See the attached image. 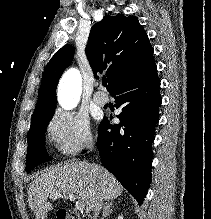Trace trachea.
<instances>
[{
    "label": "trachea",
    "instance_id": "3493384b",
    "mask_svg": "<svg viewBox=\"0 0 211 219\" xmlns=\"http://www.w3.org/2000/svg\"><path fill=\"white\" fill-rule=\"evenodd\" d=\"M102 85L107 86V80H102Z\"/></svg>",
    "mask_w": 211,
    "mask_h": 219
}]
</instances>
